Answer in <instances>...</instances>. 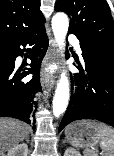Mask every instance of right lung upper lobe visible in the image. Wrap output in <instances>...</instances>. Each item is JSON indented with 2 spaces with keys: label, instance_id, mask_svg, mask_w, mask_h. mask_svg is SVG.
<instances>
[{
  "label": "right lung upper lobe",
  "instance_id": "cb5924a9",
  "mask_svg": "<svg viewBox=\"0 0 114 156\" xmlns=\"http://www.w3.org/2000/svg\"><path fill=\"white\" fill-rule=\"evenodd\" d=\"M40 0H0V42L43 24Z\"/></svg>",
  "mask_w": 114,
  "mask_h": 156
}]
</instances>
